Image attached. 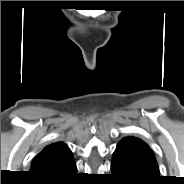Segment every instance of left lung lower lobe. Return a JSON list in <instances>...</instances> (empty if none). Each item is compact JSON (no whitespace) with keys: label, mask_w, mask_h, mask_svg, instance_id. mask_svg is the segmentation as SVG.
<instances>
[{"label":"left lung lower lobe","mask_w":184,"mask_h":184,"mask_svg":"<svg viewBox=\"0 0 184 184\" xmlns=\"http://www.w3.org/2000/svg\"><path fill=\"white\" fill-rule=\"evenodd\" d=\"M111 171L123 184H157L161 180L155 156L130 140L118 143Z\"/></svg>","instance_id":"obj_1"}]
</instances>
